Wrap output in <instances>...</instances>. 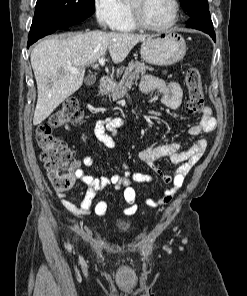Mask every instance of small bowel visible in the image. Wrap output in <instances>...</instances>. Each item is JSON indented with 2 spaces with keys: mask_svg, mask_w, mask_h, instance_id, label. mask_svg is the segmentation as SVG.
Wrapping results in <instances>:
<instances>
[{
  "mask_svg": "<svg viewBox=\"0 0 247 296\" xmlns=\"http://www.w3.org/2000/svg\"><path fill=\"white\" fill-rule=\"evenodd\" d=\"M140 90L143 93L157 91L165 106L171 109L178 108L182 103L183 93L178 83L164 81L154 76H145L140 83ZM127 125V120L121 117H107L96 122L93 133L95 138L105 147L113 149L117 146L115 135L120 127ZM216 127V121L209 106H203L199 121L189 128L193 136H201L212 132ZM84 138L85 135L83 136ZM208 147V141L200 138L189 150L180 151L178 143H164L156 146L143 148L138 153V158L147 166L156 171L155 163L161 157H168L179 167L172 176L160 175L161 181L169 185L162 196L158 199L146 198L144 204L148 208L161 207L169 203L177 189H179L191 168L201 159ZM95 159L86 155L82 158L81 164L85 167L93 166ZM123 173L110 176H94L87 174L83 168L76 170V177L84 183L87 191L79 205L66 198L63 191H58L57 196L62 206L76 219L90 216L104 217L108 212V205L105 201H98L93 204L97 194L106 186L113 185L117 190L122 189L126 207L124 215L132 216L138 210L137 193L133 183H150L154 178L149 174L132 172L125 162H122Z\"/></svg>",
  "mask_w": 247,
  "mask_h": 296,
  "instance_id": "obj_1",
  "label": "small bowel"
}]
</instances>
